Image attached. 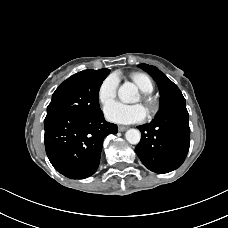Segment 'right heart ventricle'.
Segmentation results:
<instances>
[{"label": "right heart ventricle", "instance_id": "1", "mask_svg": "<svg viewBox=\"0 0 228 228\" xmlns=\"http://www.w3.org/2000/svg\"><path fill=\"white\" fill-rule=\"evenodd\" d=\"M131 79L143 93L150 94L153 92L154 85L146 74L136 72L131 74Z\"/></svg>", "mask_w": 228, "mask_h": 228}]
</instances>
